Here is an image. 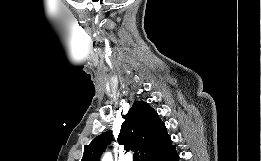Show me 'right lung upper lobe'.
<instances>
[{"label":"right lung upper lobe","mask_w":261,"mask_h":161,"mask_svg":"<svg viewBox=\"0 0 261 161\" xmlns=\"http://www.w3.org/2000/svg\"><path fill=\"white\" fill-rule=\"evenodd\" d=\"M111 139L110 131L97 136L89 145L84 146L81 161H99ZM118 143L124 145L126 150L140 151V159L143 161L152 152L171 143V139L154 109L146 102L135 101L125 116Z\"/></svg>","instance_id":"right-lung-upper-lobe-1"}]
</instances>
